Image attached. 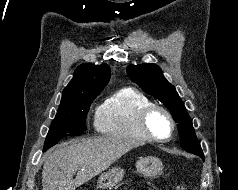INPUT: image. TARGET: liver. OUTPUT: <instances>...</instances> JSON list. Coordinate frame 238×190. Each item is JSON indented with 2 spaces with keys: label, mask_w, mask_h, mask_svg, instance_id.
Here are the masks:
<instances>
[{
  "label": "liver",
  "mask_w": 238,
  "mask_h": 190,
  "mask_svg": "<svg viewBox=\"0 0 238 190\" xmlns=\"http://www.w3.org/2000/svg\"><path fill=\"white\" fill-rule=\"evenodd\" d=\"M140 145L142 143L138 141L120 137L64 143L50 153L44 162L43 190H75Z\"/></svg>",
  "instance_id": "obj_1"
}]
</instances>
